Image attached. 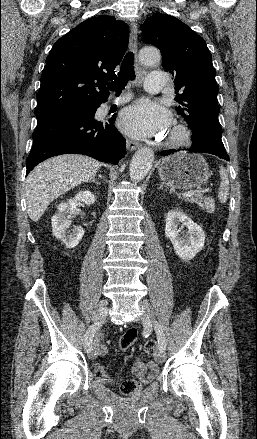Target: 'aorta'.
I'll list each match as a JSON object with an SVG mask.
<instances>
[{
	"mask_svg": "<svg viewBox=\"0 0 257 439\" xmlns=\"http://www.w3.org/2000/svg\"><path fill=\"white\" fill-rule=\"evenodd\" d=\"M160 53L155 48H145L140 51L141 62L146 65L157 63L160 60ZM154 161V152L152 149L143 147L133 156L130 164V178L135 181H141L150 171Z\"/></svg>",
	"mask_w": 257,
	"mask_h": 439,
	"instance_id": "obj_1",
	"label": "aorta"
}]
</instances>
